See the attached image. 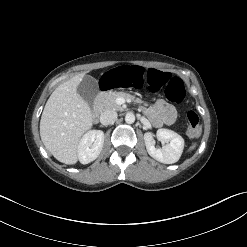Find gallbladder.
I'll return each mask as SVG.
<instances>
[{
  "instance_id": "gallbladder-1",
  "label": "gallbladder",
  "mask_w": 247,
  "mask_h": 247,
  "mask_svg": "<svg viewBox=\"0 0 247 247\" xmlns=\"http://www.w3.org/2000/svg\"><path fill=\"white\" fill-rule=\"evenodd\" d=\"M99 92L97 81L86 75L77 87V93L86 101L89 106L93 105L94 99Z\"/></svg>"
}]
</instances>
